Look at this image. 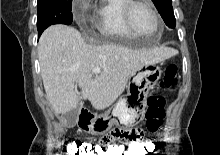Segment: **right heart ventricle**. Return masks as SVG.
Here are the masks:
<instances>
[{
	"label": "right heart ventricle",
	"instance_id": "right-heart-ventricle-1",
	"mask_svg": "<svg viewBox=\"0 0 220 155\" xmlns=\"http://www.w3.org/2000/svg\"><path fill=\"white\" fill-rule=\"evenodd\" d=\"M127 0H99L94 9V23L100 36L108 40L135 37L127 28L123 8Z\"/></svg>",
	"mask_w": 220,
	"mask_h": 155
}]
</instances>
